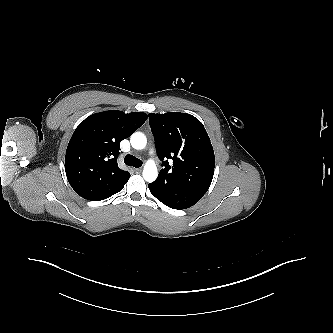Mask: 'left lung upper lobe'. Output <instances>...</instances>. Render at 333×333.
Returning a JSON list of instances; mask_svg holds the SVG:
<instances>
[{
	"instance_id": "5c2ea615",
	"label": "left lung upper lobe",
	"mask_w": 333,
	"mask_h": 333,
	"mask_svg": "<svg viewBox=\"0 0 333 333\" xmlns=\"http://www.w3.org/2000/svg\"><path fill=\"white\" fill-rule=\"evenodd\" d=\"M149 123L163 167L156 179L159 184L205 194L214 175L215 157L203 124L180 112L150 113Z\"/></svg>"
}]
</instances>
